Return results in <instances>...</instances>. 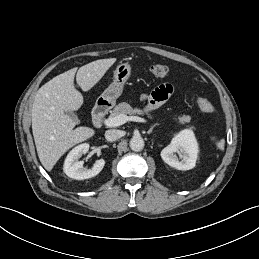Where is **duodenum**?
Segmentation results:
<instances>
[{"mask_svg":"<svg viewBox=\"0 0 259 259\" xmlns=\"http://www.w3.org/2000/svg\"><path fill=\"white\" fill-rule=\"evenodd\" d=\"M109 107L105 104L97 105L93 110V121L96 125H100L107 114Z\"/></svg>","mask_w":259,"mask_h":259,"instance_id":"410a0bca","label":"duodenum"}]
</instances>
